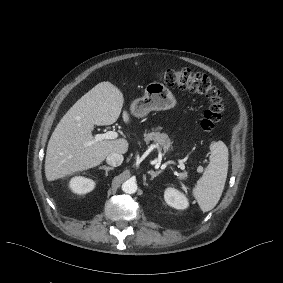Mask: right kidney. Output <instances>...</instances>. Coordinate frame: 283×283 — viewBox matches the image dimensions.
<instances>
[{"mask_svg":"<svg viewBox=\"0 0 283 283\" xmlns=\"http://www.w3.org/2000/svg\"><path fill=\"white\" fill-rule=\"evenodd\" d=\"M69 187L76 194H86L94 189L95 182L92 179L77 176L70 180Z\"/></svg>","mask_w":283,"mask_h":283,"instance_id":"1","label":"right kidney"}]
</instances>
